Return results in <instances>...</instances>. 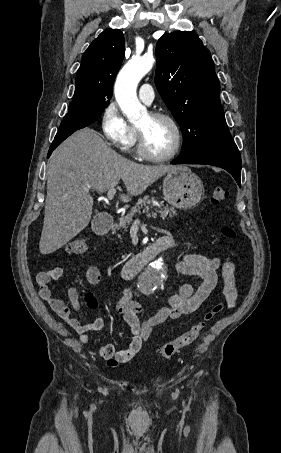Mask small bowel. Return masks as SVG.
Masks as SVG:
<instances>
[{
	"mask_svg": "<svg viewBox=\"0 0 281 453\" xmlns=\"http://www.w3.org/2000/svg\"><path fill=\"white\" fill-rule=\"evenodd\" d=\"M180 233L181 231L178 230ZM164 244L171 250L173 240L164 238ZM161 240L156 239L148 245H156L157 252L164 251L166 246ZM220 268L223 273L222 283L223 293L229 308H232L237 299L234 275L235 264L231 259L220 260L217 257H207L204 255L181 253L180 259L174 264L173 270L180 276H194L200 280L197 289L190 285H181L178 291L170 299V307L156 311L143 321L138 318L141 306L131 298V290L125 289L123 295L116 301L115 310L118 316L131 329L133 336L130 343L121 349H117L112 344H105L100 349V357L106 360L110 366L115 367L120 363L129 362L134 355L141 349L143 343L149 338L154 328L160 326L167 319H177L182 314L196 312L209 294L221 283L216 270ZM65 270L62 266H56L48 270H40L37 273V284L42 299L62 318L68 321L78 334L83 344H89L91 337L89 332L101 331L105 321L99 316L93 322L81 324L78 319L73 318L66 303L58 298H54L51 293L49 283L53 279H60L64 276ZM87 281L92 285L101 283V276L95 266H90L86 274ZM68 301L75 312L81 311V303L75 286H69L67 290Z\"/></svg>",
	"mask_w": 281,
	"mask_h": 453,
	"instance_id": "1",
	"label": "small bowel"
}]
</instances>
